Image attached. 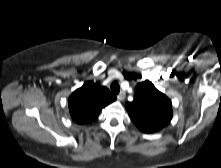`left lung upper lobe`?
Wrapping results in <instances>:
<instances>
[{"label": "left lung upper lobe", "instance_id": "obj_1", "mask_svg": "<svg viewBox=\"0 0 221 168\" xmlns=\"http://www.w3.org/2000/svg\"><path fill=\"white\" fill-rule=\"evenodd\" d=\"M125 107L138 129L144 133L156 132L172 119L170 99L146 80L136 86L133 102Z\"/></svg>", "mask_w": 221, "mask_h": 168}]
</instances>
